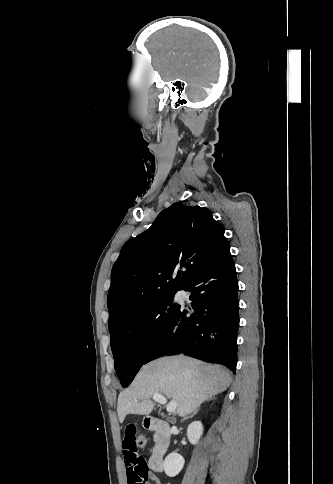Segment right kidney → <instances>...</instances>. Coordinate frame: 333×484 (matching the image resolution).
Segmentation results:
<instances>
[{
	"instance_id": "right-kidney-1",
	"label": "right kidney",
	"mask_w": 333,
	"mask_h": 484,
	"mask_svg": "<svg viewBox=\"0 0 333 484\" xmlns=\"http://www.w3.org/2000/svg\"><path fill=\"white\" fill-rule=\"evenodd\" d=\"M203 434V425L200 421H194L189 424L187 428L188 440L193 444H197ZM184 458L176 452L170 453L164 460L163 467L165 474L169 477H174L180 473L184 466Z\"/></svg>"
}]
</instances>
